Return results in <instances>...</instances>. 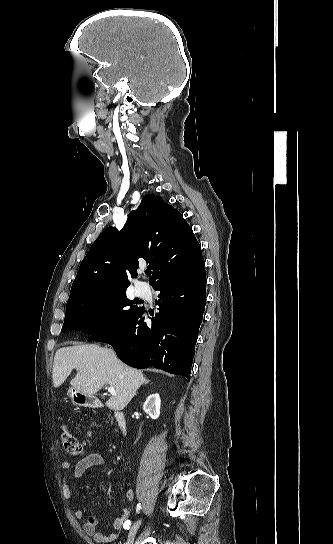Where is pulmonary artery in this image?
<instances>
[{"mask_svg":"<svg viewBox=\"0 0 333 544\" xmlns=\"http://www.w3.org/2000/svg\"><path fill=\"white\" fill-rule=\"evenodd\" d=\"M136 291H137V293H138L140 296H144V295L147 294L148 288H147L146 285H144V284H138V285L136 286Z\"/></svg>","mask_w":333,"mask_h":544,"instance_id":"obj_1","label":"pulmonary artery"}]
</instances>
